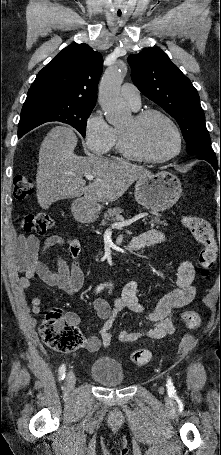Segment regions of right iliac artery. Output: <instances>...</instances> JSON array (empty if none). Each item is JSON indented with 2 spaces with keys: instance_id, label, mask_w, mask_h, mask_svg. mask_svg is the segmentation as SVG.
Returning <instances> with one entry per match:
<instances>
[{
  "instance_id": "82829eb1",
  "label": "right iliac artery",
  "mask_w": 221,
  "mask_h": 455,
  "mask_svg": "<svg viewBox=\"0 0 221 455\" xmlns=\"http://www.w3.org/2000/svg\"><path fill=\"white\" fill-rule=\"evenodd\" d=\"M104 288V284H100L97 289H96V292H100V290H102ZM65 374H66V368H65V365H62L60 368H59V380H63L65 378Z\"/></svg>"
}]
</instances>
